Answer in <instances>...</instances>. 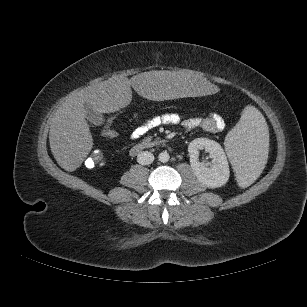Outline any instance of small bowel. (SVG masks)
Wrapping results in <instances>:
<instances>
[{"label": "small bowel", "mask_w": 307, "mask_h": 307, "mask_svg": "<svg viewBox=\"0 0 307 307\" xmlns=\"http://www.w3.org/2000/svg\"><path fill=\"white\" fill-rule=\"evenodd\" d=\"M133 119L134 123L129 130L131 139H138L160 126H180L185 130L202 128L207 132L216 133L223 131L226 125L223 117L216 113H211L206 118L195 117L188 119H184L177 113H163L144 121H140L139 116L134 114Z\"/></svg>", "instance_id": "obj_1"}]
</instances>
